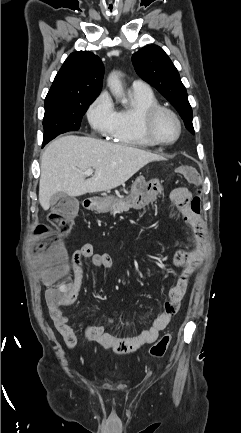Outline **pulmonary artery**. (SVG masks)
Segmentation results:
<instances>
[{"instance_id": "e3ab8cb5", "label": "pulmonary artery", "mask_w": 241, "mask_h": 433, "mask_svg": "<svg viewBox=\"0 0 241 433\" xmlns=\"http://www.w3.org/2000/svg\"><path fill=\"white\" fill-rule=\"evenodd\" d=\"M131 89L141 92H147L151 90L149 84L140 79H136L132 82Z\"/></svg>"}]
</instances>
